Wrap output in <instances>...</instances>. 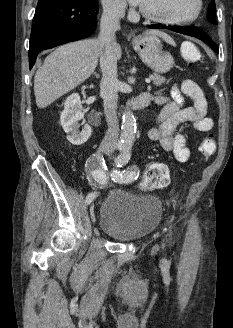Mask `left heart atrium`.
Returning <instances> with one entry per match:
<instances>
[{
  "label": "left heart atrium",
  "mask_w": 233,
  "mask_h": 328,
  "mask_svg": "<svg viewBox=\"0 0 233 328\" xmlns=\"http://www.w3.org/2000/svg\"><path fill=\"white\" fill-rule=\"evenodd\" d=\"M132 5H141L143 0H129Z\"/></svg>",
  "instance_id": "obj_1"
}]
</instances>
